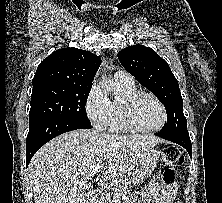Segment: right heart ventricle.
Listing matches in <instances>:
<instances>
[{
    "mask_svg": "<svg viewBox=\"0 0 222 203\" xmlns=\"http://www.w3.org/2000/svg\"><path fill=\"white\" fill-rule=\"evenodd\" d=\"M117 85H118L120 94L117 97H115L114 100L111 102L112 108H111V117L108 124V129L109 131L116 132V133H131L134 130H132L127 125L124 119L123 112H122V101L126 96L136 93L137 90L134 84L127 86V85H122V84L117 83Z\"/></svg>",
    "mask_w": 222,
    "mask_h": 203,
    "instance_id": "e07e8e85",
    "label": "right heart ventricle"
}]
</instances>
